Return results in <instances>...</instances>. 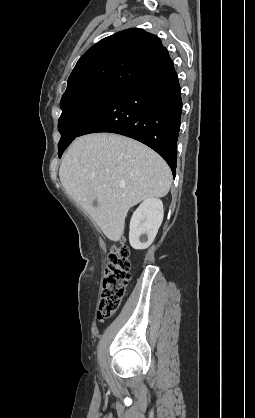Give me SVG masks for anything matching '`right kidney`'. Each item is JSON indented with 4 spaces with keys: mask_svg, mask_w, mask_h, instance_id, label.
<instances>
[{
    "mask_svg": "<svg viewBox=\"0 0 255 418\" xmlns=\"http://www.w3.org/2000/svg\"><path fill=\"white\" fill-rule=\"evenodd\" d=\"M163 203L158 198H147L133 213L130 221L129 242L137 250L148 248L163 221Z\"/></svg>",
    "mask_w": 255,
    "mask_h": 418,
    "instance_id": "right-kidney-1",
    "label": "right kidney"
}]
</instances>
